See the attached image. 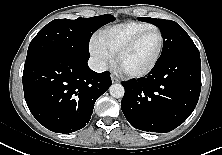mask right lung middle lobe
Here are the masks:
<instances>
[{
	"label": "right lung middle lobe",
	"mask_w": 222,
	"mask_h": 155,
	"mask_svg": "<svg viewBox=\"0 0 222 155\" xmlns=\"http://www.w3.org/2000/svg\"><path fill=\"white\" fill-rule=\"evenodd\" d=\"M114 20V16L105 14L91 18L51 21L31 41L25 65L56 54L90 57L88 44L91 35L101 26Z\"/></svg>",
	"instance_id": "obj_1"
}]
</instances>
